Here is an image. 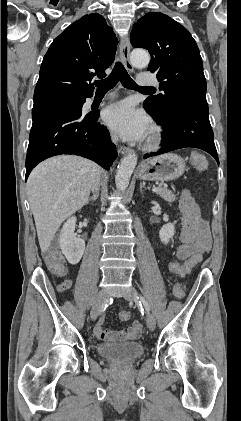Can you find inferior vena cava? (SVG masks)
Returning a JSON list of instances; mask_svg holds the SVG:
<instances>
[{
    "mask_svg": "<svg viewBox=\"0 0 241 421\" xmlns=\"http://www.w3.org/2000/svg\"><path fill=\"white\" fill-rule=\"evenodd\" d=\"M113 141H114V142H117V141H118V138H117V137H114V138H113ZM99 186H100V175H99V174H97V175L93 178V180H92V186H91L92 192H93V193H94V192H97V191L99 190Z\"/></svg>",
    "mask_w": 241,
    "mask_h": 421,
    "instance_id": "obj_1",
    "label": "inferior vena cava"
}]
</instances>
